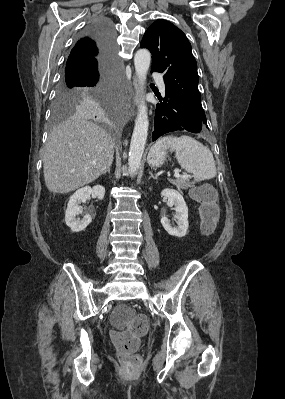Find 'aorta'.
Segmentation results:
<instances>
[{
	"label": "aorta",
	"instance_id": "aorta-1",
	"mask_svg": "<svg viewBox=\"0 0 285 399\" xmlns=\"http://www.w3.org/2000/svg\"><path fill=\"white\" fill-rule=\"evenodd\" d=\"M151 61V54L147 49H140L136 52L134 57V66L141 91L143 93L146 75L149 70ZM148 111L144 99L140 101L138 107V114L135 121V126L131 138L128 166L131 175L137 173L140 168L142 155L145 149V144L148 136Z\"/></svg>",
	"mask_w": 285,
	"mask_h": 399
}]
</instances>
